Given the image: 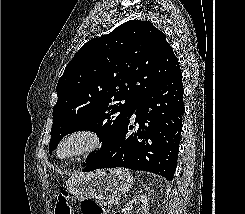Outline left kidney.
Returning a JSON list of instances; mask_svg holds the SVG:
<instances>
[{
  "mask_svg": "<svg viewBox=\"0 0 245 214\" xmlns=\"http://www.w3.org/2000/svg\"><path fill=\"white\" fill-rule=\"evenodd\" d=\"M133 205H139L140 207L137 209L136 214H148V198L146 195H138L134 197L131 201L126 204V209H133Z\"/></svg>",
  "mask_w": 245,
  "mask_h": 214,
  "instance_id": "5707ae66",
  "label": "left kidney"
}]
</instances>
